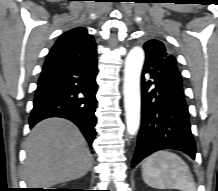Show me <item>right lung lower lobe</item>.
<instances>
[{
	"label": "right lung lower lobe",
	"instance_id": "1",
	"mask_svg": "<svg viewBox=\"0 0 218 191\" xmlns=\"http://www.w3.org/2000/svg\"><path fill=\"white\" fill-rule=\"evenodd\" d=\"M96 75L94 39L62 34L43 65L29 117L30 128L49 117L66 118L80 128L91 146L96 135Z\"/></svg>",
	"mask_w": 218,
	"mask_h": 191
}]
</instances>
